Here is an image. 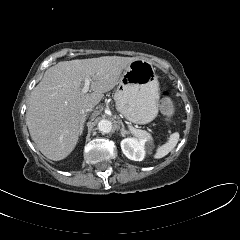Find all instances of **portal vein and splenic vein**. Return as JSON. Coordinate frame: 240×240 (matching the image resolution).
Instances as JSON below:
<instances>
[{
    "instance_id": "18ae733b",
    "label": "portal vein and splenic vein",
    "mask_w": 240,
    "mask_h": 240,
    "mask_svg": "<svg viewBox=\"0 0 240 240\" xmlns=\"http://www.w3.org/2000/svg\"><path fill=\"white\" fill-rule=\"evenodd\" d=\"M90 83H91V79L90 78H85L84 86L81 90L82 94H86L89 91Z\"/></svg>"
}]
</instances>
